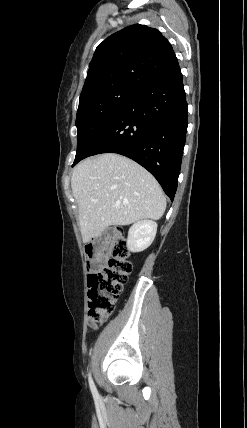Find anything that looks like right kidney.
Instances as JSON below:
<instances>
[{"label":"right kidney","instance_id":"1","mask_svg":"<svg viewBox=\"0 0 247 428\" xmlns=\"http://www.w3.org/2000/svg\"><path fill=\"white\" fill-rule=\"evenodd\" d=\"M157 232V223L143 220L132 225L128 232L127 247L132 252H141L153 242Z\"/></svg>","mask_w":247,"mask_h":428}]
</instances>
